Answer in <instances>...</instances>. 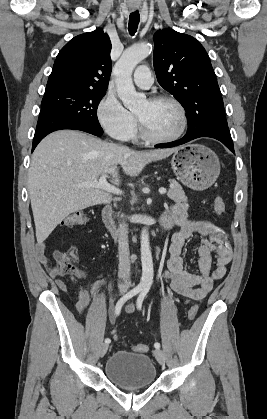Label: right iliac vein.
Returning a JSON list of instances; mask_svg holds the SVG:
<instances>
[{"label": "right iliac vein", "mask_w": 267, "mask_h": 419, "mask_svg": "<svg viewBox=\"0 0 267 419\" xmlns=\"http://www.w3.org/2000/svg\"><path fill=\"white\" fill-rule=\"evenodd\" d=\"M108 349V344L107 343H103L100 347V356L103 357Z\"/></svg>", "instance_id": "63e3f726"}]
</instances>
